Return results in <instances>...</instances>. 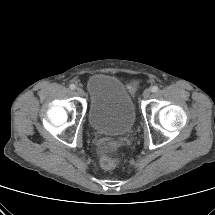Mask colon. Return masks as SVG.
I'll list each match as a JSON object with an SVG mask.
<instances>
[{"instance_id":"obj_1","label":"colon","mask_w":215,"mask_h":215,"mask_svg":"<svg viewBox=\"0 0 215 215\" xmlns=\"http://www.w3.org/2000/svg\"><path fill=\"white\" fill-rule=\"evenodd\" d=\"M111 144L114 147L116 146L115 141H113ZM100 164H101L102 168H104L106 170H112L117 166L118 159L112 155L104 154V155H102V157L100 159Z\"/></svg>"}]
</instances>
